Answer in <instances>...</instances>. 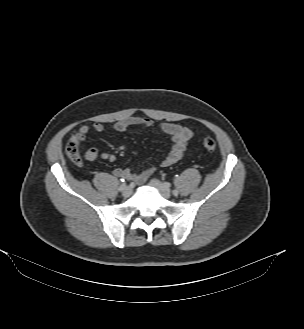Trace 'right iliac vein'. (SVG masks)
<instances>
[{
  "mask_svg": "<svg viewBox=\"0 0 304 329\" xmlns=\"http://www.w3.org/2000/svg\"><path fill=\"white\" fill-rule=\"evenodd\" d=\"M131 193H132L131 187L125 186L123 191H122V195L127 198L131 195Z\"/></svg>",
  "mask_w": 304,
  "mask_h": 329,
  "instance_id": "63e3f726",
  "label": "right iliac vein"
}]
</instances>
